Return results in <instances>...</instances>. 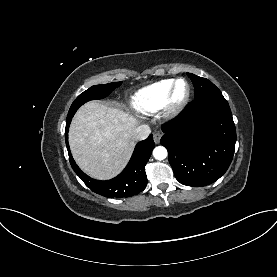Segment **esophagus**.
I'll return each instance as SVG.
<instances>
[{"instance_id": "obj_1", "label": "esophagus", "mask_w": 277, "mask_h": 277, "mask_svg": "<svg viewBox=\"0 0 277 277\" xmlns=\"http://www.w3.org/2000/svg\"><path fill=\"white\" fill-rule=\"evenodd\" d=\"M161 136H162V134H161L160 132H156V133L153 135L154 142H155L156 144H159L160 139H161Z\"/></svg>"}]
</instances>
